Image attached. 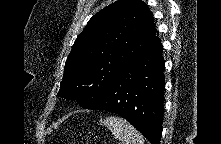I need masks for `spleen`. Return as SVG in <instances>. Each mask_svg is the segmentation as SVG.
Returning a JSON list of instances; mask_svg holds the SVG:
<instances>
[{"label":"spleen","instance_id":"obj_1","mask_svg":"<svg viewBox=\"0 0 221 144\" xmlns=\"http://www.w3.org/2000/svg\"><path fill=\"white\" fill-rule=\"evenodd\" d=\"M111 133L124 144H144L143 136L125 119L121 117H106L100 120Z\"/></svg>","mask_w":221,"mask_h":144}]
</instances>
